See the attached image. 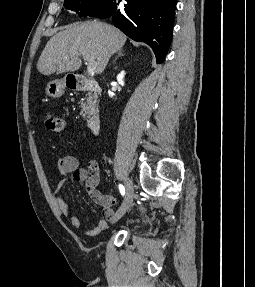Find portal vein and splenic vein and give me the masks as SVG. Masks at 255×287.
Returning <instances> with one entry per match:
<instances>
[{
  "mask_svg": "<svg viewBox=\"0 0 255 287\" xmlns=\"http://www.w3.org/2000/svg\"><path fill=\"white\" fill-rule=\"evenodd\" d=\"M83 60H86L88 64L87 72L90 76H94L95 70L97 68V62H95V58L93 56H89V54H82Z\"/></svg>",
  "mask_w": 255,
  "mask_h": 287,
  "instance_id": "obj_1",
  "label": "portal vein and splenic vein"
}]
</instances>
